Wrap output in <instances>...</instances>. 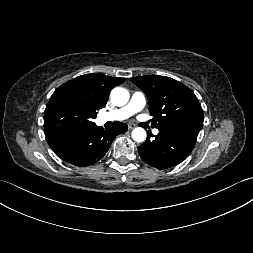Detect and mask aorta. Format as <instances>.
<instances>
[{
  "label": "aorta",
  "mask_w": 253,
  "mask_h": 253,
  "mask_svg": "<svg viewBox=\"0 0 253 253\" xmlns=\"http://www.w3.org/2000/svg\"><path fill=\"white\" fill-rule=\"evenodd\" d=\"M129 92L121 87H116L111 91V101L116 106H124L129 101ZM146 131L137 127L132 131V138L136 142H143L146 140Z\"/></svg>",
  "instance_id": "aorta-1"
}]
</instances>
